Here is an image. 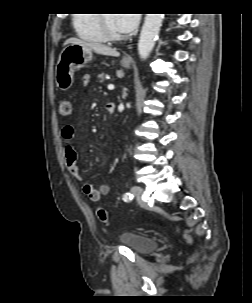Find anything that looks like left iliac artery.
Masks as SVG:
<instances>
[{
  "mask_svg": "<svg viewBox=\"0 0 252 303\" xmlns=\"http://www.w3.org/2000/svg\"><path fill=\"white\" fill-rule=\"evenodd\" d=\"M132 198H133V194L131 193H125L123 196L124 201L131 200Z\"/></svg>",
  "mask_w": 252,
  "mask_h": 303,
  "instance_id": "obj_1",
  "label": "left iliac artery"
}]
</instances>
